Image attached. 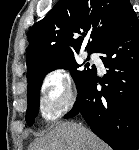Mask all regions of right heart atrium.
I'll list each match as a JSON object with an SVG mask.
<instances>
[{
  "label": "right heart atrium",
  "mask_w": 139,
  "mask_h": 150,
  "mask_svg": "<svg viewBox=\"0 0 139 150\" xmlns=\"http://www.w3.org/2000/svg\"><path fill=\"white\" fill-rule=\"evenodd\" d=\"M75 94L69 73L64 69H53L41 83L40 111L44 119L52 121L72 108Z\"/></svg>",
  "instance_id": "1"
}]
</instances>
